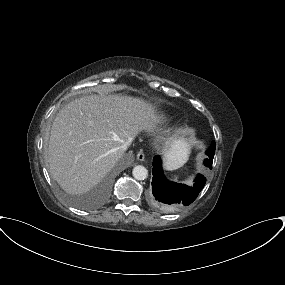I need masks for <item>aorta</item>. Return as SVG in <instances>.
<instances>
[{"mask_svg":"<svg viewBox=\"0 0 285 285\" xmlns=\"http://www.w3.org/2000/svg\"><path fill=\"white\" fill-rule=\"evenodd\" d=\"M132 174L136 180H145L148 176V170L142 165H137L133 168Z\"/></svg>","mask_w":285,"mask_h":285,"instance_id":"762f6f07","label":"aorta"}]
</instances>
